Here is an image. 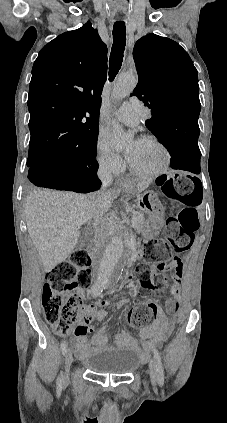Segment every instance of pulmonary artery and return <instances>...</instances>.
Wrapping results in <instances>:
<instances>
[{"label": "pulmonary artery", "instance_id": "obj_1", "mask_svg": "<svg viewBox=\"0 0 227 423\" xmlns=\"http://www.w3.org/2000/svg\"><path fill=\"white\" fill-rule=\"evenodd\" d=\"M115 118L127 126H136L140 120H149V111H138L137 105L132 101L124 102L115 112Z\"/></svg>", "mask_w": 227, "mask_h": 423}]
</instances>
